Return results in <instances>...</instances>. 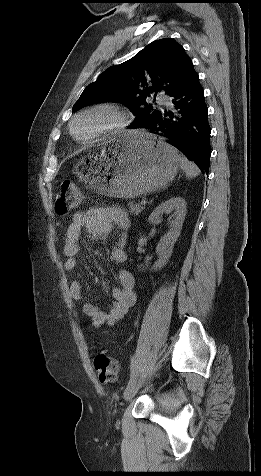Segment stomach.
Segmentation results:
<instances>
[{
	"instance_id": "stomach-1",
	"label": "stomach",
	"mask_w": 261,
	"mask_h": 476,
	"mask_svg": "<svg viewBox=\"0 0 261 476\" xmlns=\"http://www.w3.org/2000/svg\"><path fill=\"white\" fill-rule=\"evenodd\" d=\"M179 166L172 146L153 134L136 131L90 151L74 165V172L99 193L135 198L166 187Z\"/></svg>"
}]
</instances>
